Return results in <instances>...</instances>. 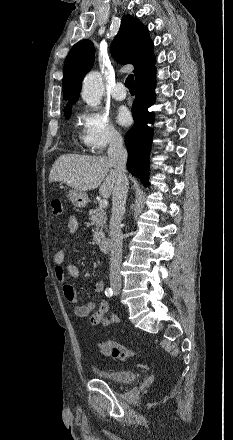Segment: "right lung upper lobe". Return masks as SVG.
Segmentation results:
<instances>
[{
    "mask_svg": "<svg viewBox=\"0 0 233 440\" xmlns=\"http://www.w3.org/2000/svg\"><path fill=\"white\" fill-rule=\"evenodd\" d=\"M110 49L119 62L134 65L135 82L155 69L153 43L147 27L137 18L130 15L123 17ZM94 52L90 40H81L71 48L64 63L63 97L68 100L64 110L78 100L81 80L94 64Z\"/></svg>",
    "mask_w": 233,
    "mask_h": 440,
    "instance_id": "cb5924a9",
    "label": "right lung upper lobe"
}]
</instances>
